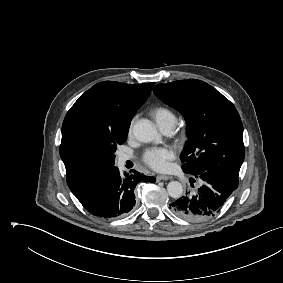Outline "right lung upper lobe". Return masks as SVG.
I'll list each match as a JSON object with an SVG mask.
<instances>
[{
    "label": "right lung upper lobe",
    "instance_id": "right-lung-upper-lobe-1",
    "mask_svg": "<svg viewBox=\"0 0 283 283\" xmlns=\"http://www.w3.org/2000/svg\"><path fill=\"white\" fill-rule=\"evenodd\" d=\"M154 84L100 82L67 112L62 125L60 156L73 193L114 167L104 142L110 135L128 131L130 121L149 97Z\"/></svg>",
    "mask_w": 283,
    "mask_h": 283
}]
</instances>
